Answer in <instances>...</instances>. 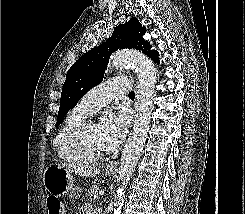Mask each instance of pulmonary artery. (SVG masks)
<instances>
[{
    "label": "pulmonary artery",
    "instance_id": "pulmonary-artery-1",
    "mask_svg": "<svg viewBox=\"0 0 245 214\" xmlns=\"http://www.w3.org/2000/svg\"><path fill=\"white\" fill-rule=\"evenodd\" d=\"M130 81L124 77H113L89 90L81 99L80 105L89 114L109 103L116 95L126 93Z\"/></svg>",
    "mask_w": 245,
    "mask_h": 214
}]
</instances>
